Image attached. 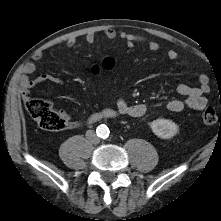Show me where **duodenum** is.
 <instances>
[{
    "instance_id": "obj_1",
    "label": "duodenum",
    "mask_w": 221,
    "mask_h": 221,
    "mask_svg": "<svg viewBox=\"0 0 221 221\" xmlns=\"http://www.w3.org/2000/svg\"><path fill=\"white\" fill-rule=\"evenodd\" d=\"M113 116V113L112 112H106L104 114H100V115H93L91 117V121H96L97 119L101 118V117H106V118H109V117H112Z\"/></svg>"
}]
</instances>
